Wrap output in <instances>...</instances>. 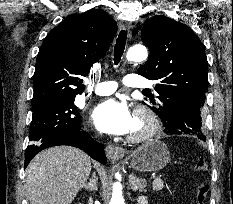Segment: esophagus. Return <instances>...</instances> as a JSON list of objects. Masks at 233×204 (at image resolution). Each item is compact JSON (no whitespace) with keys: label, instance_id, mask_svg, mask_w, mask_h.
Wrapping results in <instances>:
<instances>
[{"label":"esophagus","instance_id":"esophagus-1","mask_svg":"<svg viewBox=\"0 0 233 204\" xmlns=\"http://www.w3.org/2000/svg\"><path fill=\"white\" fill-rule=\"evenodd\" d=\"M124 28L128 31L129 36H131L132 30H133L132 24H130V23L125 24ZM105 152H106V155L112 160L121 159V158H123V156L125 154L124 148L113 145V144L107 145Z\"/></svg>","mask_w":233,"mask_h":204}]
</instances>
